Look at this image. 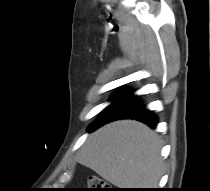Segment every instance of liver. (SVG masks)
<instances>
[{
    "instance_id": "liver-1",
    "label": "liver",
    "mask_w": 210,
    "mask_h": 191,
    "mask_svg": "<svg viewBox=\"0 0 210 191\" xmlns=\"http://www.w3.org/2000/svg\"><path fill=\"white\" fill-rule=\"evenodd\" d=\"M161 147L145 124L119 120L95 131L77 160L118 188H155L163 173Z\"/></svg>"
}]
</instances>
